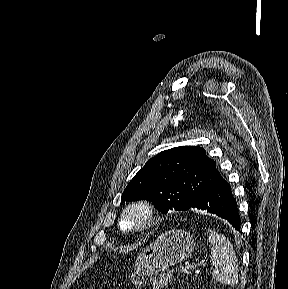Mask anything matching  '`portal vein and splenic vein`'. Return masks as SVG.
I'll use <instances>...</instances> for the list:
<instances>
[{
  "label": "portal vein and splenic vein",
  "mask_w": 288,
  "mask_h": 289,
  "mask_svg": "<svg viewBox=\"0 0 288 289\" xmlns=\"http://www.w3.org/2000/svg\"><path fill=\"white\" fill-rule=\"evenodd\" d=\"M189 272V265H187V263H185V266H183L182 268H180V270L178 271V274H185ZM172 276L171 273H169V277Z\"/></svg>",
  "instance_id": "1"
}]
</instances>
